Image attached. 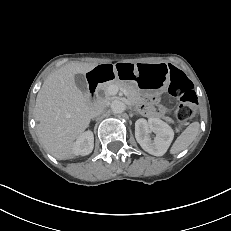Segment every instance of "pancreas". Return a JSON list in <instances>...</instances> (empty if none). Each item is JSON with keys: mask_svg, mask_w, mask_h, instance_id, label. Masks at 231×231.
I'll use <instances>...</instances> for the list:
<instances>
[{"mask_svg": "<svg viewBox=\"0 0 231 231\" xmlns=\"http://www.w3.org/2000/svg\"><path fill=\"white\" fill-rule=\"evenodd\" d=\"M116 85L119 89L127 91V97L132 103H136L138 100V93L135 87L129 82L114 80L112 82L104 83L101 85V89L104 91L106 96H109V87Z\"/></svg>", "mask_w": 231, "mask_h": 231, "instance_id": "1", "label": "pancreas"}]
</instances>
